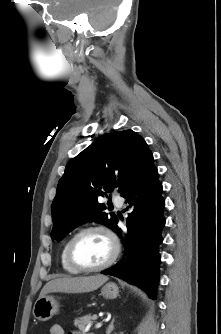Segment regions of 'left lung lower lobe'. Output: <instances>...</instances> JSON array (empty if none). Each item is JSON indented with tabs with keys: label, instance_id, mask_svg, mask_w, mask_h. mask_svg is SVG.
I'll return each mask as SVG.
<instances>
[{
	"label": "left lung lower lobe",
	"instance_id": "left-lung-lower-lobe-1",
	"mask_svg": "<svg viewBox=\"0 0 221 334\" xmlns=\"http://www.w3.org/2000/svg\"><path fill=\"white\" fill-rule=\"evenodd\" d=\"M161 192L162 185L152 159L122 195L130 210L125 240L128 257L125 263H117L102 272L139 285L151 298H155L159 281L158 249L163 241L161 230L165 225L162 214L165 201ZM117 223L118 220L112 230L120 236Z\"/></svg>",
	"mask_w": 221,
	"mask_h": 334
}]
</instances>
